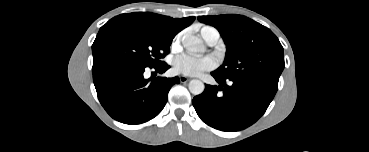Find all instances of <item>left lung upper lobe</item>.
<instances>
[{
  "label": "left lung upper lobe",
  "mask_w": 369,
  "mask_h": 152,
  "mask_svg": "<svg viewBox=\"0 0 369 152\" xmlns=\"http://www.w3.org/2000/svg\"><path fill=\"white\" fill-rule=\"evenodd\" d=\"M214 26L226 44V57L214 74L226 79H259L278 83L284 69L283 47L263 25L241 15L199 16Z\"/></svg>",
  "instance_id": "1"
}]
</instances>
